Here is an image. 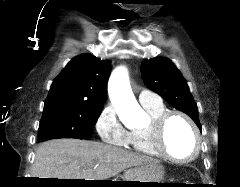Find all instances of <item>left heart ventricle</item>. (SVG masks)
Returning <instances> with one entry per match:
<instances>
[{
	"label": "left heart ventricle",
	"mask_w": 240,
	"mask_h": 187,
	"mask_svg": "<svg viewBox=\"0 0 240 187\" xmlns=\"http://www.w3.org/2000/svg\"><path fill=\"white\" fill-rule=\"evenodd\" d=\"M164 146L176 158L185 159L194 152L195 139L187 122L181 117H172L165 128Z\"/></svg>",
	"instance_id": "obj_1"
}]
</instances>
